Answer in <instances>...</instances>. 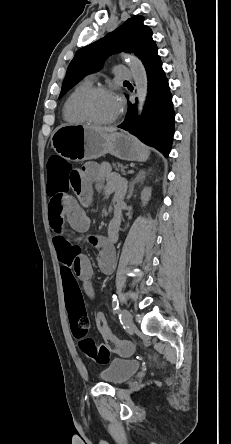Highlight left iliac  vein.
I'll return each mask as SVG.
<instances>
[{
	"instance_id": "4c4485c4",
	"label": "left iliac vein",
	"mask_w": 231,
	"mask_h": 444,
	"mask_svg": "<svg viewBox=\"0 0 231 444\" xmlns=\"http://www.w3.org/2000/svg\"><path fill=\"white\" fill-rule=\"evenodd\" d=\"M123 322L126 327H132L134 324L133 317L127 309H123Z\"/></svg>"
}]
</instances>
